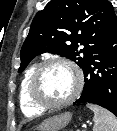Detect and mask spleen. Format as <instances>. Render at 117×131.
Returning <instances> with one entry per match:
<instances>
[{"label": "spleen", "mask_w": 117, "mask_h": 131, "mask_svg": "<svg viewBox=\"0 0 117 131\" xmlns=\"http://www.w3.org/2000/svg\"><path fill=\"white\" fill-rule=\"evenodd\" d=\"M87 107L94 112L93 131H117V118L110 111L93 104Z\"/></svg>", "instance_id": "1"}]
</instances>
